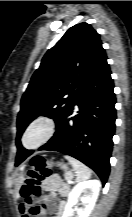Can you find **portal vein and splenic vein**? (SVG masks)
I'll use <instances>...</instances> for the list:
<instances>
[{
  "instance_id": "18ae733b",
  "label": "portal vein and splenic vein",
  "mask_w": 132,
  "mask_h": 217,
  "mask_svg": "<svg viewBox=\"0 0 132 217\" xmlns=\"http://www.w3.org/2000/svg\"><path fill=\"white\" fill-rule=\"evenodd\" d=\"M68 183H72L71 179L68 180Z\"/></svg>"
}]
</instances>
